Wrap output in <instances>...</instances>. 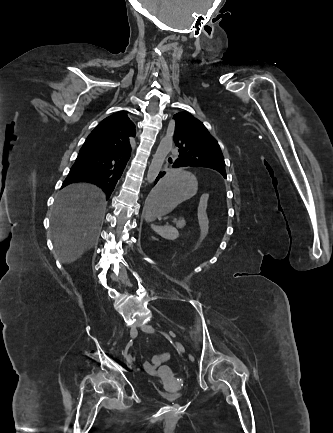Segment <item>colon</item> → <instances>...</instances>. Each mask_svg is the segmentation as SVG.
Wrapping results in <instances>:
<instances>
[{"instance_id": "obj_1", "label": "colon", "mask_w": 333, "mask_h": 433, "mask_svg": "<svg viewBox=\"0 0 333 433\" xmlns=\"http://www.w3.org/2000/svg\"><path fill=\"white\" fill-rule=\"evenodd\" d=\"M208 201V197L207 195H203L200 199V203H199V212H198V223L200 226V236L198 238V241H200L206 230H207V218H206V214H205V207ZM190 252H193V249H190ZM185 256H188V253H185ZM169 358V355L167 353H160V354H155L150 358V361L148 363V365L151 368H157L159 365V362H166Z\"/></svg>"}]
</instances>
